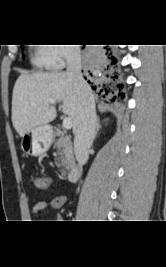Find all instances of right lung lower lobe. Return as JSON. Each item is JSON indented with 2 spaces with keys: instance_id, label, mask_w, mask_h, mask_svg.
<instances>
[{
  "instance_id": "obj_1",
  "label": "right lung lower lobe",
  "mask_w": 166,
  "mask_h": 267,
  "mask_svg": "<svg viewBox=\"0 0 166 267\" xmlns=\"http://www.w3.org/2000/svg\"><path fill=\"white\" fill-rule=\"evenodd\" d=\"M110 49H107L109 51ZM109 59L111 60V64L116 63V59L113 56H110ZM108 76V75H107ZM114 81L118 78L116 75L111 77ZM90 83V81H88ZM122 84H117L116 86L112 82H106V83H99L95 84L92 86L94 90L98 91V94L102 97H112L111 100H116L119 96L120 93L117 95V91L121 90ZM118 88V89H117Z\"/></svg>"
}]
</instances>
